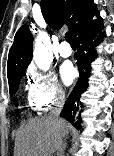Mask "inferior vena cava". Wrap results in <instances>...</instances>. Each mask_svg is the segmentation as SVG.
I'll use <instances>...</instances> for the list:
<instances>
[{"mask_svg": "<svg viewBox=\"0 0 114 156\" xmlns=\"http://www.w3.org/2000/svg\"><path fill=\"white\" fill-rule=\"evenodd\" d=\"M65 103V94L63 92H58L55 98L54 107L51 109L49 113V117L54 119L55 121H60V113L62 110V107ZM65 145H62L61 152L59 156H63Z\"/></svg>", "mask_w": 114, "mask_h": 156, "instance_id": "obj_1", "label": "inferior vena cava"}]
</instances>
